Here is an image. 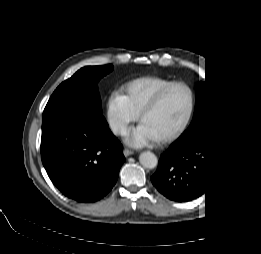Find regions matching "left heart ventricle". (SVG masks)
<instances>
[{
  "instance_id": "obj_1",
  "label": "left heart ventricle",
  "mask_w": 261,
  "mask_h": 254,
  "mask_svg": "<svg viewBox=\"0 0 261 254\" xmlns=\"http://www.w3.org/2000/svg\"><path fill=\"white\" fill-rule=\"evenodd\" d=\"M187 101L184 89H172L156 108L144 117L142 124L156 137L171 132L179 124Z\"/></svg>"
}]
</instances>
